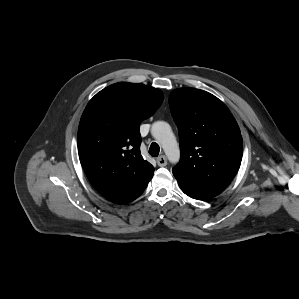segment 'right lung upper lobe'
Instances as JSON below:
<instances>
[{"label": "right lung upper lobe", "mask_w": 299, "mask_h": 299, "mask_svg": "<svg viewBox=\"0 0 299 299\" xmlns=\"http://www.w3.org/2000/svg\"><path fill=\"white\" fill-rule=\"evenodd\" d=\"M163 98L159 89L121 82L87 104L78 128L79 159L93 187L109 201H133L151 180L154 168L140 154L139 125Z\"/></svg>", "instance_id": "right-lung-upper-lobe-1"}]
</instances>
